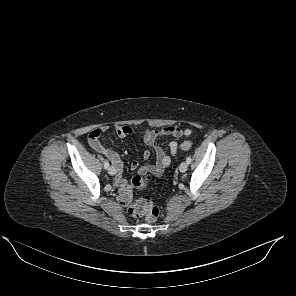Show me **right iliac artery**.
Returning <instances> with one entry per match:
<instances>
[{
    "instance_id": "right-iliac-artery-1",
    "label": "right iliac artery",
    "mask_w": 296,
    "mask_h": 296,
    "mask_svg": "<svg viewBox=\"0 0 296 296\" xmlns=\"http://www.w3.org/2000/svg\"><path fill=\"white\" fill-rule=\"evenodd\" d=\"M109 167V162L107 160L104 161V168L105 169H108Z\"/></svg>"
}]
</instances>
